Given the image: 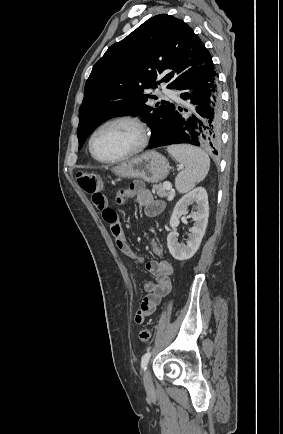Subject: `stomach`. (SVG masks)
I'll return each instance as SVG.
<instances>
[{"instance_id":"obj_1","label":"stomach","mask_w":283,"mask_h":434,"mask_svg":"<svg viewBox=\"0 0 283 434\" xmlns=\"http://www.w3.org/2000/svg\"><path fill=\"white\" fill-rule=\"evenodd\" d=\"M169 163L156 151L146 152L117 165L113 172L122 178H140L149 183H158L169 174Z\"/></svg>"}]
</instances>
